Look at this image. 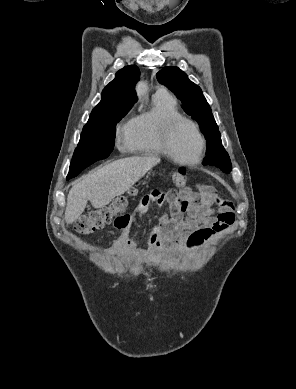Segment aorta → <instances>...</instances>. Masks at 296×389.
Segmentation results:
<instances>
[{
	"mask_svg": "<svg viewBox=\"0 0 296 389\" xmlns=\"http://www.w3.org/2000/svg\"><path fill=\"white\" fill-rule=\"evenodd\" d=\"M136 90L138 92L139 95H144L146 90H147V85L145 82H139L137 87H136Z\"/></svg>",
	"mask_w": 296,
	"mask_h": 389,
	"instance_id": "1",
	"label": "aorta"
}]
</instances>
